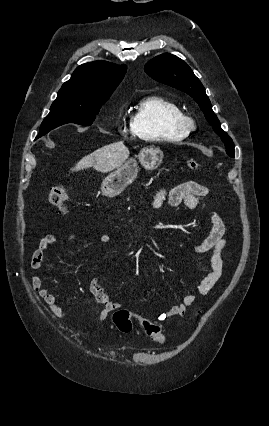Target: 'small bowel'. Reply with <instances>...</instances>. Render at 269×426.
Instances as JSON below:
<instances>
[{"label": "small bowel", "instance_id": "obj_1", "mask_svg": "<svg viewBox=\"0 0 269 426\" xmlns=\"http://www.w3.org/2000/svg\"><path fill=\"white\" fill-rule=\"evenodd\" d=\"M208 194L209 190L207 187L195 181H186L170 190H159L155 195L153 206L159 208L164 202H168L172 207H178L184 204L187 208L196 210L200 208L202 199ZM210 224L211 229L209 234L195 247L196 253H211L209 270L201 278L194 293L186 295L181 303L175 304L160 313L158 315V320L165 321L176 316L184 315L187 309L193 305L196 297L208 294L222 277L225 262L223 253L227 247V241L225 239L226 227L222 219L216 214L210 216ZM74 237L75 236L72 235L70 240H73ZM110 240L111 236L107 233H103L99 236V241L101 243H108ZM55 244L56 239L51 235L45 236L40 240L31 259V267L34 270L37 271L42 267L46 250ZM31 284L39 297L47 303L50 312L54 316L59 317L64 315L63 307L58 304L56 297L43 286L39 275L32 277ZM90 290L103 305L100 319H105L111 312L120 307L118 302L111 299L100 278L92 279L90 282Z\"/></svg>", "mask_w": 269, "mask_h": 426}]
</instances>
